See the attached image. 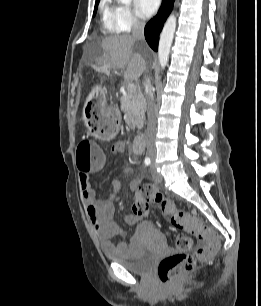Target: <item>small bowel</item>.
I'll return each instance as SVG.
<instances>
[{
  "label": "small bowel",
  "mask_w": 261,
  "mask_h": 306,
  "mask_svg": "<svg viewBox=\"0 0 261 306\" xmlns=\"http://www.w3.org/2000/svg\"><path fill=\"white\" fill-rule=\"evenodd\" d=\"M126 146L124 142H116L113 144L111 151L114 155H120L125 152ZM106 165L104 160L100 164L94 166L90 170L81 171L79 174V186L81 191V197L84 204L87 218L92 225L96 238L100 244L102 250L109 254H121L128 253L129 247L124 242L114 243L115 237L123 234L120 226L113 220L115 208L113 205V197L111 195L108 199H99L96 191L90 182V174L93 172L101 171ZM127 174L131 173L130 169L126 170ZM139 179H133L130 182V190L137 196V192L140 186ZM113 188L117 191L120 188V183L115 181ZM139 220V217L135 214H129L125 217V222L129 225H134ZM136 241V239L134 240Z\"/></svg>",
  "instance_id": "c3829d8e"
}]
</instances>
